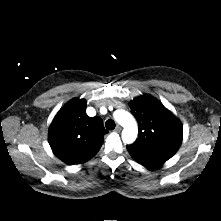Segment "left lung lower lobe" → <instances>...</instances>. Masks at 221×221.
Here are the masks:
<instances>
[{"instance_id":"left-lung-lower-lobe-1","label":"left lung lower lobe","mask_w":221,"mask_h":221,"mask_svg":"<svg viewBox=\"0 0 221 221\" xmlns=\"http://www.w3.org/2000/svg\"><path fill=\"white\" fill-rule=\"evenodd\" d=\"M164 162L163 161H160V160H154V161H150L148 163H145V164H142L146 167H150V168H153V167H157L159 165H162Z\"/></svg>"}]
</instances>
